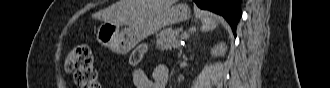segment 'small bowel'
Here are the masks:
<instances>
[{"instance_id":"obj_1","label":"small bowel","mask_w":330,"mask_h":88,"mask_svg":"<svg viewBox=\"0 0 330 88\" xmlns=\"http://www.w3.org/2000/svg\"><path fill=\"white\" fill-rule=\"evenodd\" d=\"M169 69L165 65H157L152 69V80L148 79L141 69H134L130 78L137 88H165L168 81Z\"/></svg>"}]
</instances>
